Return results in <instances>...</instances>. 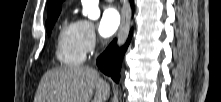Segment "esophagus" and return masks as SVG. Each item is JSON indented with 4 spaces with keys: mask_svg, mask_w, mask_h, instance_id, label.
<instances>
[{
    "mask_svg": "<svg viewBox=\"0 0 221 102\" xmlns=\"http://www.w3.org/2000/svg\"><path fill=\"white\" fill-rule=\"evenodd\" d=\"M131 12L128 3H125L122 11V21L118 32V44H122L129 32Z\"/></svg>",
    "mask_w": 221,
    "mask_h": 102,
    "instance_id": "obj_1",
    "label": "esophagus"
}]
</instances>
